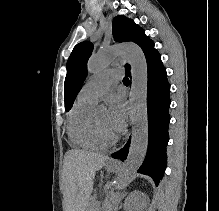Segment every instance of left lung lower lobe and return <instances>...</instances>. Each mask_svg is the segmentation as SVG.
<instances>
[{
	"label": "left lung lower lobe",
	"instance_id": "0a47b994",
	"mask_svg": "<svg viewBox=\"0 0 219 211\" xmlns=\"http://www.w3.org/2000/svg\"><path fill=\"white\" fill-rule=\"evenodd\" d=\"M147 113L148 150L138 172L149 175L156 184L162 179L167 164L166 146L168 144V125L170 121V84L166 69L157 50L147 58ZM130 76V72L126 73ZM130 139L123 149L112 154L113 158L124 161L127 158Z\"/></svg>",
	"mask_w": 219,
	"mask_h": 211
}]
</instances>
